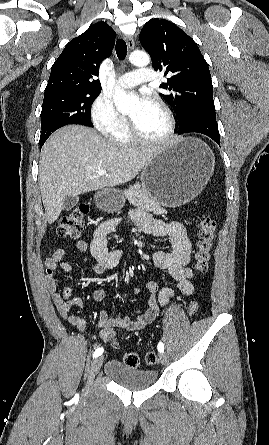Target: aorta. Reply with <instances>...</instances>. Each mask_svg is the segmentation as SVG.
I'll use <instances>...</instances> for the list:
<instances>
[{"label":"aorta","instance_id":"aorta-1","mask_svg":"<svg viewBox=\"0 0 269 445\" xmlns=\"http://www.w3.org/2000/svg\"><path fill=\"white\" fill-rule=\"evenodd\" d=\"M129 61L136 66H147L150 63V57L145 52L135 51L129 55ZM113 99L120 112H128L138 102L136 95L125 92L119 86L114 89Z\"/></svg>","mask_w":269,"mask_h":445}]
</instances>
